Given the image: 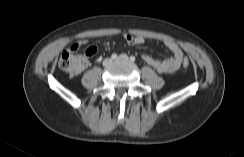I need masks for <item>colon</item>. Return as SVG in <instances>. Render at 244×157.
<instances>
[{
  "label": "colon",
  "instance_id": "obj_1",
  "mask_svg": "<svg viewBox=\"0 0 244 157\" xmlns=\"http://www.w3.org/2000/svg\"><path fill=\"white\" fill-rule=\"evenodd\" d=\"M94 48L80 52L77 45L64 51L59 59V67L71 77L79 75L87 66L88 58L94 54ZM190 61L187 57L182 59V66L187 68Z\"/></svg>",
  "mask_w": 244,
  "mask_h": 157
}]
</instances>
